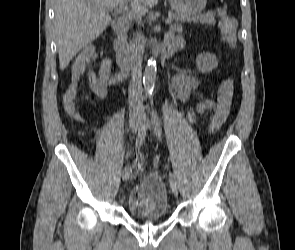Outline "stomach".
I'll return each mask as SVG.
<instances>
[{"label":"stomach","instance_id":"1","mask_svg":"<svg viewBox=\"0 0 295 250\" xmlns=\"http://www.w3.org/2000/svg\"><path fill=\"white\" fill-rule=\"evenodd\" d=\"M175 13L182 16L199 14L206 6L207 0H169Z\"/></svg>","mask_w":295,"mask_h":250}]
</instances>
